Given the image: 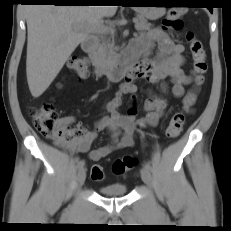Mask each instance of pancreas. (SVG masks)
Here are the masks:
<instances>
[{"mask_svg": "<svg viewBox=\"0 0 231 231\" xmlns=\"http://www.w3.org/2000/svg\"><path fill=\"white\" fill-rule=\"evenodd\" d=\"M137 21L138 22L135 24V28L137 31L142 32L150 30L152 24L149 23L145 18L140 17L137 19ZM117 51L118 47L115 46L113 39L112 41H110L109 39L103 40L97 48V51L95 52V62L102 63L103 65H109L116 57Z\"/></svg>", "mask_w": 231, "mask_h": 231, "instance_id": "cf45deb5", "label": "pancreas"}]
</instances>
